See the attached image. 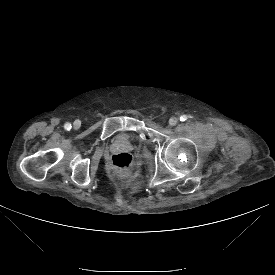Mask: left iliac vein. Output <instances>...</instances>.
Instances as JSON below:
<instances>
[{
	"label": "left iliac vein",
	"instance_id": "4c4485c4",
	"mask_svg": "<svg viewBox=\"0 0 275 275\" xmlns=\"http://www.w3.org/2000/svg\"><path fill=\"white\" fill-rule=\"evenodd\" d=\"M177 122H178V118H176V117H171V118L169 119V125H171V126L176 125Z\"/></svg>",
	"mask_w": 275,
	"mask_h": 275
}]
</instances>
